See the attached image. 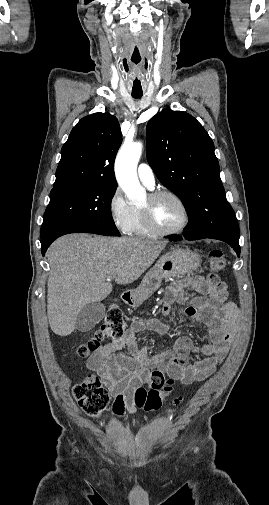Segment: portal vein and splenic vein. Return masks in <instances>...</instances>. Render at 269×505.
<instances>
[{
	"label": "portal vein and splenic vein",
	"mask_w": 269,
	"mask_h": 505,
	"mask_svg": "<svg viewBox=\"0 0 269 505\" xmlns=\"http://www.w3.org/2000/svg\"><path fill=\"white\" fill-rule=\"evenodd\" d=\"M114 278H115V276H112V275H111V276H109V277H108V279H107V280H111V279H114Z\"/></svg>",
	"instance_id": "18ae733b"
}]
</instances>
